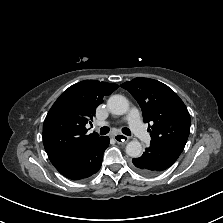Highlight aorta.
Returning a JSON list of instances; mask_svg holds the SVG:
<instances>
[{
    "label": "aorta",
    "mask_w": 223,
    "mask_h": 223,
    "mask_svg": "<svg viewBox=\"0 0 223 223\" xmlns=\"http://www.w3.org/2000/svg\"><path fill=\"white\" fill-rule=\"evenodd\" d=\"M108 109L112 114L123 115L129 109L128 100L122 95H112L107 101ZM126 153L132 158L142 155V145L138 140L130 141L126 146Z\"/></svg>",
    "instance_id": "obj_1"
}]
</instances>
